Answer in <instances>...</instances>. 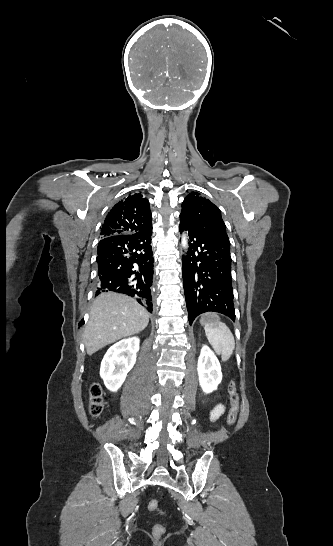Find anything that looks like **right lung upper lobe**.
Masks as SVG:
<instances>
[{"mask_svg": "<svg viewBox=\"0 0 333 546\" xmlns=\"http://www.w3.org/2000/svg\"><path fill=\"white\" fill-rule=\"evenodd\" d=\"M149 201L141 193L130 194L108 212L100 237L130 235L152 226Z\"/></svg>", "mask_w": 333, "mask_h": 546, "instance_id": "cb5924a9", "label": "right lung upper lobe"}]
</instances>
